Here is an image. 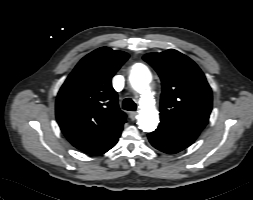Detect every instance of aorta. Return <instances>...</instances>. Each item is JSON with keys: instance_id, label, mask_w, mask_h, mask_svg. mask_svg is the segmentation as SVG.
Instances as JSON below:
<instances>
[{"instance_id": "obj_1", "label": "aorta", "mask_w": 253, "mask_h": 200, "mask_svg": "<svg viewBox=\"0 0 253 200\" xmlns=\"http://www.w3.org/2000/svg\"><path fill=\"white\" fill-rule=\"evenodd\" d=\"M151 79V73L145 65L135 64L133 66L130 73V82L132 87L142 95L138 125L144 132L154 131L159 123V112L155 107V101L149 91Z\"/></svg>"}]
</instances>
